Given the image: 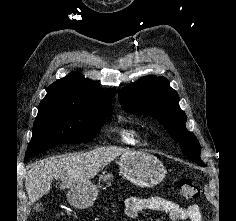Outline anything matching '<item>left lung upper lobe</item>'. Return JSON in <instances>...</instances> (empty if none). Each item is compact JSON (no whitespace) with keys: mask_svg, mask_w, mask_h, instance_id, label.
Masks as SVG:
<instances>
[{"mask_svg":"<svg viewBox=\"0 0 236 221\" xmlns=\"http://www.w3.org/2000/svg\"><path fill=\"white\" fill-rule=\"evenodd\" d=\"M119 101L125 111L152 116L161 122L170 136L180 143L182 151L200 166V144L196 136L186 129V114L180 109L179 96L164 77L145 76L124 87Z\"/></svg>","mask_w":236,"mask_h":221,"instance_id":"left-lung-upper-lobe-1","label":"left lung upper lobe"}]
</instances>
